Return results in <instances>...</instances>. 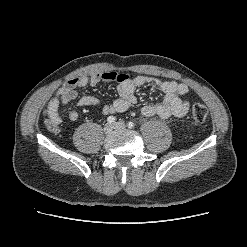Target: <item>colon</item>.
Wrapping results in <instances>:
<instances>
[{"label":"colon","mask_w":247,"mask_h":247,"mask_svg":"<svg viewBox=\"0 0 247 247\" xmlns=\"http://www.w3.org/2000/svg\"><path fill=\"white\" fill-rule=\"evenodd\" d=\"M191 115L196 122H203L208 116V109L203 104H195L192 107ZM47 126L49 129L53 128V126L48 121H47Z\"/></svg>","instance_id":"5ec220e1"}]
</instances>
